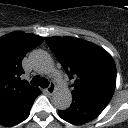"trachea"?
I'll list each match as a JSON object with an SVG mask.
<instances>
[{
    "label": "trachea",
    "mask_w": 128,
    "mask_h": 128,
    "mask_svg": "<svg viewBox=\"0 0 128 128\" xmlns=\"http://www.w3.org/2000/svg\"><path fill=\"white\" fill-rule=\"evenodd\" d=\"M31 85L41 86L42 88H46L49 86V81L46 78H42L40 76H34L31 80Z\"/></svg>",
    "instance_id": "1"
}]
</instances>
